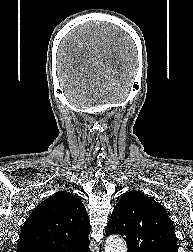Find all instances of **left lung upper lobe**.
<instances>
[{
    "label": "left lung upper lobe",
    "mask_w": 193,
    "mask_h": 252,
    "mask_svg": "<svg viewBox=\"0 0 193 252\" xmlns=\"http://www.w3.org/2000/svg\"><path fill=\"white\" fill-rule=\"evenodd\" d=\"M105 232L124 237L128 252H178L175 229L167 211L141 192L123 195Z\"/></svg>",
    "instance_id": "left-lung-upper-lobe-1"
}]
</instances>
